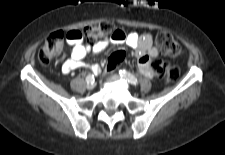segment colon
Wrapping results in <instances>:
<instances>
[{"label": "colon", "instance_id": "obj_1", "mask_svg": "<svg viewBox=\"0 0 225 155\" xmlns=\"http://www.w3.org/2000/svg\"><path fill=\"white\" fill-rule=\"evenodd\" d=\"M82 40L87 42H94L102 39L108 35L114 34L117 29L114 28L113 24L109 21H101L99 23L89 25L83 30ZM67 33L64 31H55L51 33L42 44L39 52L38 59L43 65L49 64L53 58L58 55L64 46V42L67 40ZM155 43L161 50V52L170 57L175 58L180 55L181 47L178 42L167 32H159L155 36ZM110 60L106 63V68L110 72H115L119 68V64L125 60L123 52L114 49L109 54ZM152 68L158 73V75L166 81H176L180 76V70L178 67L167 64L161 59H156L152 63Z\"/></svg>", "mask_w": 225, "mask_h": 155}]
</instances>
